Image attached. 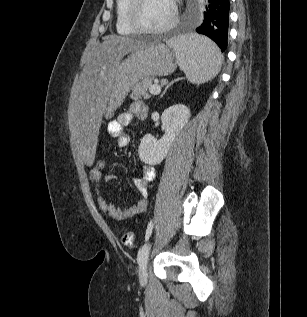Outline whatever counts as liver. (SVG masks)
Masks as SVG:
<instances>
[{"mask_svg": "<svg viewBox=\"0 0 307 317\" xmlns=\"http://www.w3.org/2000/svg\"><path fill=\"white\" fill-rule=\"evenodd\" d=\"M145 43L117 35L106 36L83 68L74 85L68 112L71 140L82 167H95L94 152L104 110V101L120 60Z\"/></svg>", "mask_w": 307, "mask_h": 317, "instance_id": "1", "label": "liver"}]
</instances>
